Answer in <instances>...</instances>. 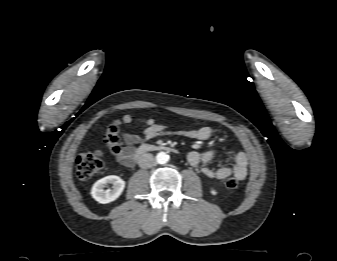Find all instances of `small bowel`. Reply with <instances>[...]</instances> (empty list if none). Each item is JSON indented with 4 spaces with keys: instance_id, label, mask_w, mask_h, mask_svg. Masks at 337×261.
Segmentation results:
<instances>
[{
    "instance_id": "small-bowel-1",
    "label": "small bowel",
    "mask_w": 337,
    "mask_h": 261,
    "mask_svg": "<svg viewBox=\"0 0 337 261\" xmlns=\"http://www.w3.org/2000/svg\"><path fill=\"white\" fill-rule=\"evenodd\" d=\"M136 118L132 114H125L122 117L123 122L131 123ZM145 125V129L140 135L120 131V136L125 144L117 156L118 161L124 166L133 164V156L136 148L145 141L155 137L171 134L168 127L160 125L154 119L148 117L138 118ZM173 134L189 139L205 141L213 134V129L209 126H203L197 129L180 130ZM217 150H208L205 152L191 151L187 155L189 164L198 167L201 174L208 178L225 179L234 175L237 179L243 180L247 176L248 158L244 152H238L234 158L232 167H220L218 169L209 166V163L218 156Z\"/></svg>"
}]
</instances>
